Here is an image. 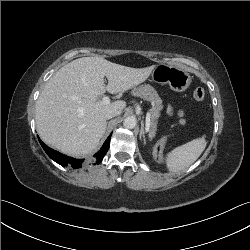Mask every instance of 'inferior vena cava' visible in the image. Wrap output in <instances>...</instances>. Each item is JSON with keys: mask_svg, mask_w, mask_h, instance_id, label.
Returning a JSON list of instances; mask_svg holds the SVG:
<instances>
[{"mask_svg": "<svg viewBox=\"0 0 250 250\" xmlns=\"http://www.w3.org/2000/svg\"><path fill=\"white\" fill-rule=\"evenodd\" d=\"M121 114L120 110L112 109L106 113V119H111Z\"/></svg>", "mask_w": 250, "mask_h": 250, "instance_id": "inferior-vena-cava-1", "label": "inferior vena cava"}]
</instances>
